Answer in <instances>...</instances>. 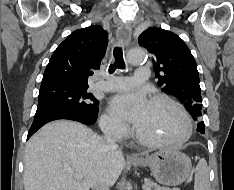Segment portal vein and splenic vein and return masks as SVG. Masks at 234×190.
Masks as SVG:
<instances>
[{
    "label": "portal vein and splenic vein",
    "instance_id": "obj_1",
    "mask_svg": "<svg viewBox=\"0 0 234 190\" xmlns=\"http://www.w3.org/2000/svg\"><path fill=\"white\" fill-rule=\"evenodd\" d=\"M71 174H73L77 179H82L83 175L81 173H75L74 171H69ZM143 190H151V187L145 186L143 187Z\"/></svg>",
    "mask_w": 234,
    "mask_h": 190
}]
</instances>
